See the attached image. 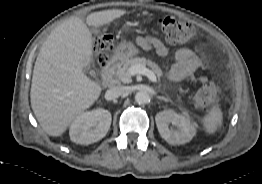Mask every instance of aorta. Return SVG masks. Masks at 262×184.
I'll list each match as a JSON object with an SVG mask.
<instances>
[{
	"mask_svg": "<svg viewBox=\"0 0 262 184\" xmlns=\"http://www.w3.org/2000/svg\"><path fill=\"white\" fill-rule=\"evenodd\" d=\"M135 101L139 105L146 104L150 101V96H149L148 92L141 90V91H138L135 94Z\"/></svg>",
	"mask_w": 262,
	"mask_h": 184,
	"instance_id": "762f6f07",
	"label": "aorta"
}]
</instances>
